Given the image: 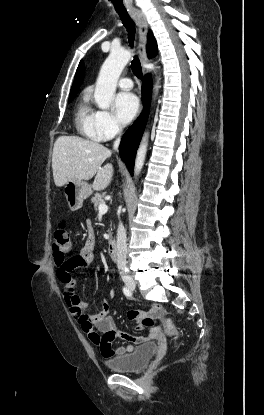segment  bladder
I'll use <instances>...</instances> for the list:
<instances>
[{
	"label": "bladder",
	"instance_id": "31cf9c89",
	"mask_svg": "<svg viewBox=\"0 0 264 415\" xmlns=\"http://www.w3.org/2000/svg\"><path fill=\"white\" fill-rule=\"evenodd\" d=\"M156 351V343L149 342L138 346L129 354L106 360L105 365L113 372L140 371L147 367Z\"/></svg>",
	"mask_w": 264,
	"mask_h": 415
}]
</instances>
